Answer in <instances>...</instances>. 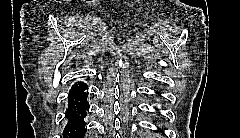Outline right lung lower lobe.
Here are the masks:
<instances>
[{"mask_svg": "<svg viewBox=\"0 0 240 138\" xmlns=\"http://www.w3.org/2000/svg\"><path fill=\"white\" fill-rule=\"evenodd\" d=\"M87 85L83 82L75 83L69 93V105L66 112L68 123L63 138H83L86 132L84 118L89 110L87 102Z\"/></svg>", "mask_w": 240, "mask_h": 138, "instance_id": "right-lung-lower-lobe-1", "label": "right lung lower lobe"}]
</instances>
